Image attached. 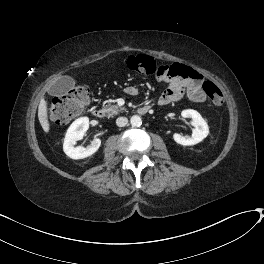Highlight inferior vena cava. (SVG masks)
<instances>
[{"label":"inferior vena cava","mask_w":264,"mask_h":264,"mask_svg":"<svg viewBox=\"0 0 264 264\" xmlns=\"http://www.w3.org/2000/svg\"><path fill=\"white\" fill-rule=\"evenodd\" d=\"M128 123V119L126 117H118L116 119V124L119 127H123Z\"/></svg>","instance_id":"1"}]
</instances>
